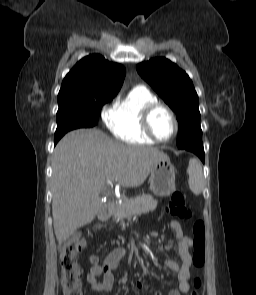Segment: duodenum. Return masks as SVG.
I'll list each match as a JSON object with an SVG mask.
<instances>
[{"mask_svg":"<svg viewBox=\"0 0 256 295\" xmlns=\"http://www.w3.org/2000/svg\"><path fill=\"white\" fill-rule=\"evenodd\" d=\"M111 214V206L109 204H103L99 208L98 217L100 220H106Z\"/></svg>","mask_w":256,"mask_h":295,"instance_id":"obj_1","label":"duodenum"}]
</instances>
